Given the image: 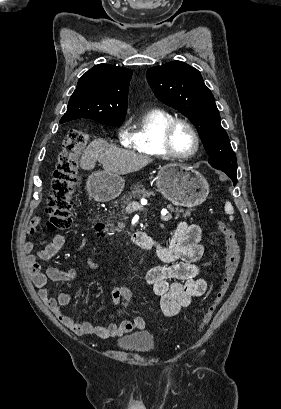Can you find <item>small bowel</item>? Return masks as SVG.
<instances>
[{"mask_svg":"<svg viewBox=\"0 0 281 409\" xmlns=\"http://www.w3.org/2000/svg\"><path fill=\"white\" fill-rule=\"evenodd\" d=\"M44 216L32 219L29 226L30 235L40 233V224L45 222ZM65 244L63 236L57 235L53 242L36 254L31 253L33 243L27 241L25 250L27 264L33 283L38 289L39 298L53 311L61 323L77 335H95L99 338L111 336H123L129 332L140 331L145 327V321L141 317L133 320H125L120 324H110L108 326L93 325L88 322L78 323L73 317L62 311L71 302V295L62 292L57 298L49 296L48 282H66L76 278L74 269L62 270L56 267H49L45 272L41 271L38 260L46 261L58 254ZM154 249L158 258L164 265L150 268L145 275L146 283L153 293L160 298V309L167 317L178 314L181 308L188 306L192 299L199 297L206 291V282L199 278V266L197 262L204 253V244L199 226L182 221L178 224L169 244L161 245L150 240V249ZM111 297L116 306H125L132 297L129 287H121L117 280H113ZM94 306L90 303L83 308L85 313Z\"/></svg>","mask_w":281,"mask_h":409,"instance_id":"1","label":"small bowel"}]
</instances>
